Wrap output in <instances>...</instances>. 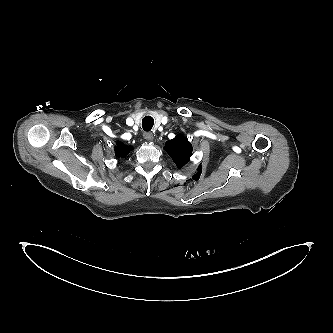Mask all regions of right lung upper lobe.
Masks as SVG:
<instances>
[{
    "label": "right lung upper lobe",
    "instance_id": "cb5924a9",
    "mask_svg": "<svg viewBox=\"0 0 333 333\" xmlns=\"http://www.w3.org/2000/svg\"><path fill=\"white\" fill-rule=\"evenodd\" d=\"M132 150V146H126L122 143H117V146L115 148V155L116 157H125L129 154V152Z\"/></svg>",
    "mask_w": 333,
    "mask_h": 333
}]
</instances>
